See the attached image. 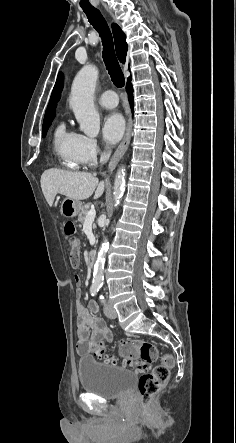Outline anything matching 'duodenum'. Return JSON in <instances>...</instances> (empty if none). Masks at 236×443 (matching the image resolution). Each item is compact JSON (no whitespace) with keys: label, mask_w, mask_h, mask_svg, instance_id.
Wrapping results in <instances>:
<instances>
[{"label":"duodenum","mask_w":236,"mask_h":443,"mask_svg":"<svg viewBox=\"0 0 236 443\" xmlns=\"http://www.w3.org/2000/svg\"><path fill=\"white\" fill-rule=\"evenodd\" d=\"M95 260H96V255L94 253H90L88 255V264H89V266L92 267L94 265V263H95Z\"/></svg>","instance_id":"1"}]
</instances>
